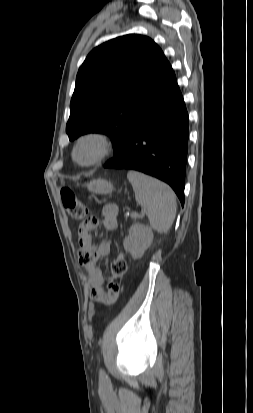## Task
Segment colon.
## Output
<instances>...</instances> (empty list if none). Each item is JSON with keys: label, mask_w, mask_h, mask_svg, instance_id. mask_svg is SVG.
Segmentation results:
<instances>
[{"label": "colon", "mask_w": 253, "mask_h": 413, "mask_svg": "<svg viewBox=\"0 0 253 413\" xmlns=\"http://www.w3.org/2000/svg\"><path fill=\"white\" fill-rule=\"evenodd\" d=\"M61 198L66 211L73 219L80 220L88 216V208L77 198L73 191L63 188L61 190ZM127 268V256L124 253H119L111 263L110 272L114 273L116 278L119 279L125 275Z\"/></svg>", "instance_id": "colon-1"}]
</instances>
